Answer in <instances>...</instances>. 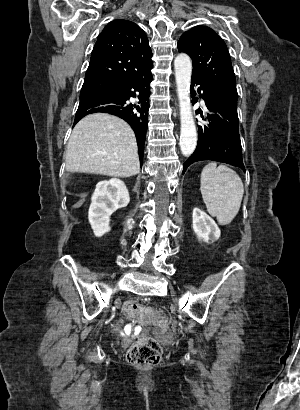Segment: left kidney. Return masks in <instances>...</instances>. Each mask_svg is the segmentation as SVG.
<instances>
[{
    "instance_id": "1",
    "label": "left kidney",
    "mask_w": 300,
    "mask_h": 410,
    "mask_svg": "<svg viewBox=\"0 0 300 410\" xmlns=\"http://www.w3.org/2000/svg\"><path fill=\"white\" fill-rule=\"evenodd\" d=\"M193 230L199 240H203L209 243L210 236L213 237V241L217 240L220 235V229L215 221L207 215L204 211L194 208L193 210Z\"/></svg>"
}]
</instances>
